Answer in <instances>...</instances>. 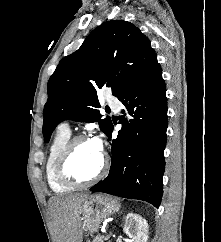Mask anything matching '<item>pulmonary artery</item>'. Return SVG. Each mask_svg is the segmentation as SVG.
I'll list each match as a JSON object with an SVG mask.
<instances>
[{"instance_id": "e3ab8cb5", "label": "pulmonary artery", "mask_w": 221, "mask_h": 242, "mask_svg": "<svg viewBox=\"0 0 221 242\" xmlns=\"http://www.w3.org/2000/svg\"><path fill=\"white\" fill-rule=\"evenodd\" d=\"M108 104L116 111H118L120 109V103L118 100L116 99H110L108 100ZM59 129L60 130H63V131H67V132H70V127L68 125V123H62L60 124L59 126Z\"/></svg>"}]
</instances>
